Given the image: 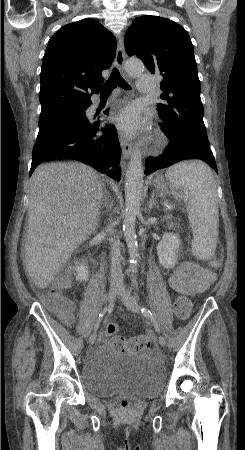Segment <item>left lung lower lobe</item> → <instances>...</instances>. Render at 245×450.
<instances>
[{
    "mask_svg": "<svg viewBox=\"0 0 245 450\" xmlns=\"http://www.w3.org/2000/svg\"><path fill=\"white\" fill-rule=\"evenodd\" d=\"M162 131L169 137L170 144L164 154L158 157L149 156L146 163L145 174L171 166L185 159H201L207 162L216 172L217 166L210 149L209 142L191 139H176L168 134L165 128Z\"/></svg>",
    "mask_w": 245,
    "mask_h": 450,
    "instance_id": "0a47b994",
    "label": "left lung lower lobe"
}]
</instances>
